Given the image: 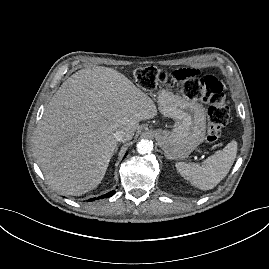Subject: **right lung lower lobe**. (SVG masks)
<instances>
[{
    "label": "right lung lower lobe",
    "instance_id": "obj_1",
    "mask_svg": "<svg viewBox=\"0 0 269 269\" xmlns=\"http://www.w3.org/2000/svg\"><path fill=\"white\" fill-rule=\"evenodd\" d=\"M114 194H115V191H111V192H109V193H107L105 195H102V196L98 197V198L89 199L88 201H93V200L101 199V198H108V197H111Z\"/></svg>",
    "mask_w": 269,
    "mask_h": 269
}]
</instances>
